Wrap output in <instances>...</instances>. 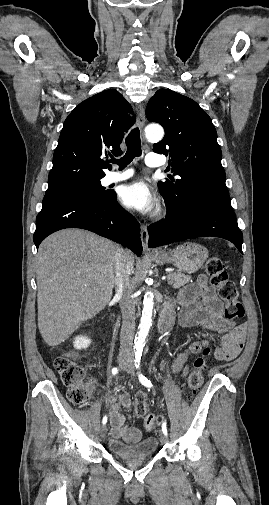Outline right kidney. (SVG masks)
Segmentation results:
<instances>
[{
  "label": "right kidney",
  "instance_id": "obj_1",
  "mask_svg": "<svg viewBox=\"0 0 269 505\" xmlns=\"http://www.w3.org/2000/svg\"><path fill=\"white\" fill-rule=\"evenodd\" d=\"M91 343V340L87 337L84 336H78L74 340V347L76 349H85L87 348Z\"/></svg>",
  "mask_w": 269,
  "mask_h": 505
}]
</instances>
